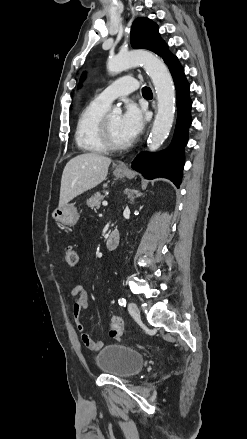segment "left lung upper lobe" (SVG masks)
Instances as JSON below:
<instances>
[{
    "label": "left lung upper lobe",
    "instance_id": "1",
    "mask_svg": "<svg viewBox=\"0 0 247 439\" xmlns=\"http://www.w3.org/2000/svg\"><path fill=\"white\" fill-rule=\"evenodd\" d=\"M131 45L134 49H148L158 54L169 68L178 60L160 38L157 25L148 18H138L134 21L131 29Z\"/></svg>",
    "mask_w": 247,
    "mask_h": 439
}]
</instances>
